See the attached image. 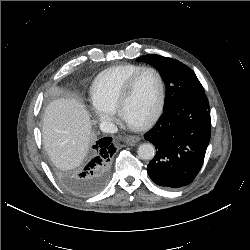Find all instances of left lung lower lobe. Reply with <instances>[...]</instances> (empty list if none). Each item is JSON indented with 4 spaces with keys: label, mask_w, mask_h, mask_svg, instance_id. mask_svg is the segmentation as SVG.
<instances>
[{
    "label": "left lung lower lobe",
    "mask_w": 250,
    "mask_h": 250,
    "mask_svg": "<svg viewBox=\"0 0 250 250\" xmlns=\"http://www.w3.org/2000/svg\"><path fill=\"white\" fill-rule=\"evenodd\" d=\"M208 99L205 94L188 97L163 111L144 137L157 149L147 166L152 181L180 188L199 173L211 135Z\"/></svg>",
    "instance_id": "1"
}]
</instances>
